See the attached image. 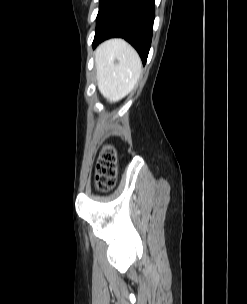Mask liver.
<instances>
[{
    "label": "liver",
    "instance_id": "6515ba94",
    "mask_svg": "<svg viewBox=\"0 0 247 304\" xmlns=\"http://www.w3.org/2000/svg\"><path fill=\"white\" fill-rule=\"evenodd\" d=\"M95 64L98 89L110 102L121 100L135 88L142 68L138 53L123 39L100 44Z\"/></svg>",
    "mask_w": 247,
    "mask_h": 304
}]
</instances>
